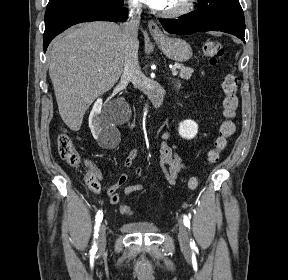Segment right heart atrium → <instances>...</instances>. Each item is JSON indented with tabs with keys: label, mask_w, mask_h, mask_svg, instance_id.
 <instances>
[{
	"label": "right heart atrium",
	"mask_w": 288,
	"mask_h": 280,
	"mask_svg": "<svg viewBox=\"0 0 288 280\" xmlns=\"http://www.w3.org/2000/svg\"><path fill=\"white\" fill-rule=\"evenodd\" d=\"M128 3L132 10H139L142 6V0H128Z\"/></svg>",
	"instance_id": "right-heart-atrium-1"
}]
</instances>
